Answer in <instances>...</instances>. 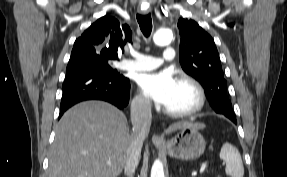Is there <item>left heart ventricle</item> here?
Wrapping results in <instances>:
<instances>
[{
    "label": "left heart ventricle",
    "instance_id": "obj_1",
    "mask_svg": "<svg viewBox=\"0 0 287 177\" xmlns=\"http://www.w3.org/2000/svg\"><path fill=\"white\" fill-rule=\"evenodd\" d=\"M196 103L194 91L187 85L177 82L169 100L164 105L169 110H186L192 108Z\"/></svg>",
    "mask_w": 287,
    "mask_h": 177
}]
</instances>
